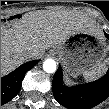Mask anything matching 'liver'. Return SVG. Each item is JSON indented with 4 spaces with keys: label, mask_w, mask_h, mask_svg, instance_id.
I'll return each mask as SVG.
<instances>
[{
    "label": "liver",
    "mask_w": 109,
    "mask_h": 109,
    "mask_svg": "<svg viewBox=\"0 0 109 109\" xmlns=\"http://www.w3.org/2000/svg\"><path fill=\"white\" fill-rule=\"evenodd\" d=\"M104 35L87 15L78 11L38 10L24 14L11 28L1 27V74L6 75L22 64V52L30 50L34 58L50 47L63 44L76 30Z\"/></svg>",
    "instance_id": "1"
}]
</instances>
